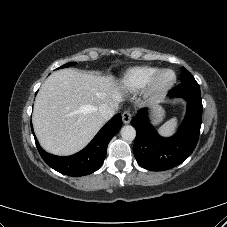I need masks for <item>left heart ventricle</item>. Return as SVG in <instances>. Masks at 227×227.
Instances as JSON below:
<instances>
[{
	"label": "left heart ventricle",
	"mask_w": 227,
	"mask_h": 227,
	"mask_svg": "<svg viewBox=\"0 0 227 227\" xmlns=\"http://www.w3.org/2000/svg\"><path fill=\"white\" fill-rule=\"evenodd\" d=\"M172 78V75L170 74V73H167V74H165L164 76H163V80L164 81H168V80H170Z\"/></svg>",
	"instance_id": "left-heart-ventricle-1"
}]
</instances>
